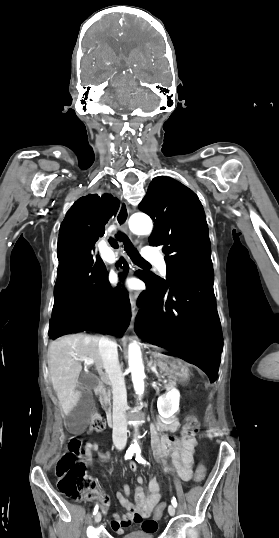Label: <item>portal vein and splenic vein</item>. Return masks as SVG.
I'll list each match as a JSON object with an SVG mask.
<instances>
[{"label":"portal vein and splenic vein","mask_w":279,"mask_h":538,"mask_svg":"<svg viewBox=\"0 0 279 538\" xmlns=\"http://www.w3.org/2000/svg\"><path fill=\"white\" fill-rule=\"evenodd\" d=\"M81 362H85L86 366H90V364H94V360H91V358H79ZM162 380H164V383H168V380H165V377H162Z\"/></svg>","instance_id":"portal-vein-and-splenic-vein-1"}]
</instances>
